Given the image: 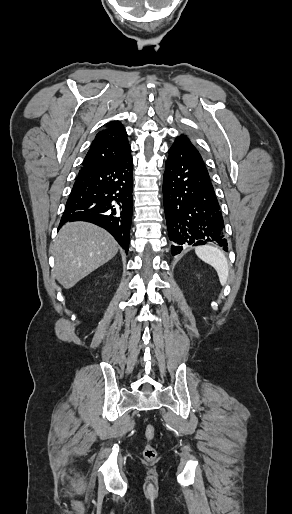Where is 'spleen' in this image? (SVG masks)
<instances>
[{"mask_svg":"<svg viewBox=\"0 0 292 514\" xmlns=\"http://www.w3.org/2000/svg\"><path fill=\"white\" fill-rule=\"evenodd\" d=\"M195 254L200 260L215 268L222 286H225L229 276V268L223 252L219 248H214V246H197Z\"/></svg>","mask_w":292,"mask_h":514,"instance_id":"spleen-1","label":"spleen"}]
</instances>
